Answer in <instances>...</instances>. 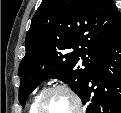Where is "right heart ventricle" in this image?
I'll return each mask as SVG.
<instances>
[{
    "mask_svg": "<svg viewBox=\"0 0 121 113\" xmlns=\"http://www.w3.org/2000/svg\"><path fill=\"white\" fill-rule=\"evenodd\" d=\"M39 96H40V94H39V95H37V96L34 98L33 103H32V106H31V109H34L35 104H36V102H37V100H38Z\"/></svg>",
    "mask_w": 121,
    "mask_h": 113,
    "instance_id": "1",
    "label": "right heart ventricle"
}]
</instances>
